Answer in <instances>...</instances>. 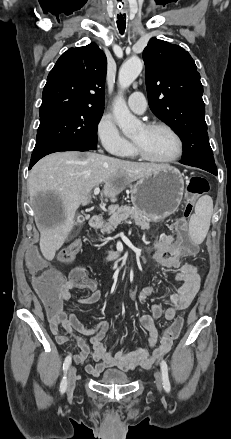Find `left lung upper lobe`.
<instances>
[{
    "label": "left lung upper lobe",
    "mask_w": 231,
    "mask_h": 439,
    "mask_svg": "<svg viewBox=\"0 0 231 439\" xmlns=\"http://www.w3.org/2000/svg\"><path fill=\"white\" fill-rule=\"evenodd\" d=\"M149 106L183 142L185 165L216 168L205 122L200 74L178 45L152 38L143 51Z\"/></svg>",
    "instance_id": "5c2ea615"
}]
</instances>
